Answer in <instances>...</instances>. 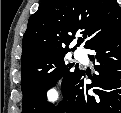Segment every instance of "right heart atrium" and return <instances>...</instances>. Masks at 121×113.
<instances>
[{
    "label": "right heart atrium",
    "instance_id": "d8ad5b80",
    "mask_svg": "<svg viewBox=\"0 0 121 113\" xmlns=\"http://www.w3.org/2000/svg\"><path fill=\"white\" fill-rule=\"evenodd\" d=\"M50 96L51 98L55 99L58 95L55 90H52Z\"/></svg>",
    "mask_w": 121,
    "mask_h": 113
}]
</instances>
